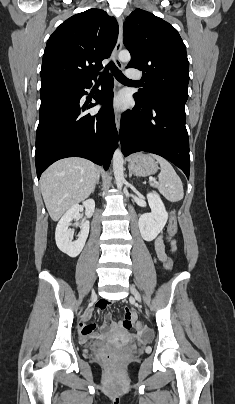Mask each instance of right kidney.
Wrapping results in <instances>:
<instances>
[{"label":"right kidney","mask_w":235,"mask_h":404,"mask_svg":"<svg viewBox=\"0 0 235 404\" xmlns=\"http://www.w3.org/2000/svg\"><path fill=\"white\" fill-rule=\"evenodd\" d=\"M83 206L85 207V215L87 217H91L95 208L94 200L88 199L84 201ZM82 210L83 207L80 205L72 206L58 222L55 232V240L57 247L63 253L73 258L77 257L80 254V252L84 248L86 239L89 234V228H90L89 221H84L80 225V233L76 241H72L71 239L72 230L68 229L71 221L77 219L80 215V211Z\"/></svg>","instance_id":"1"}]
</instances>
